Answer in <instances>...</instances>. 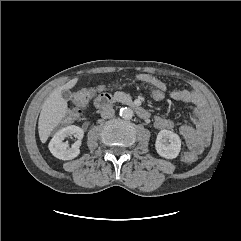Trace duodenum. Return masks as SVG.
<instances>
[{"mask_svg": "<svg viewBox=\"0 0 241 241\" xmlns=\"http://www.w3.org/2000/svg\"><path fill=\"white\" fill-rule=\"evenodd\" d=\"M117 102L124 103L125 105L131 107L139 117L143 119L148 118V112L142 106L121 95L117 96L109 93H102L95 98L94 105L97 109H105L111 104Z\"/></svg>", "mask_w": 241, "mask_h": 241, "instance_id": "duodenum-1", "label": "duodenum"}]
</instances>
